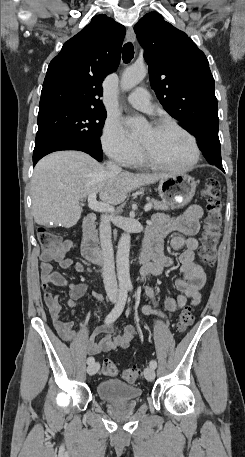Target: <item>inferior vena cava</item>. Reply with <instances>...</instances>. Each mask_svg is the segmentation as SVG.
Segmentation results:
<instances>
[{
    "instance_id": "inferior-vena-cava-1",
    "label": "inferior vena cava",
    "mask_w": 245,
    "mask_h": 457,
    "mask_svg": "<svg viewBox=\"0 0 245 457\" xmlns=\"http://www.w3.org/2000/svg\"><path fill=\"white\" fill-rule=\"evenodd\" d=\"M106 164V168L109 174H118V172H121L122 170L121 166L114 164V162H111V160H108ZM110 218L111 216H108V214H103V216H101L100 222V243L104 257L103 281L108 297H117L118 285L115 273Z\"/></svg>"
}]
</instances>
